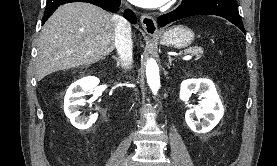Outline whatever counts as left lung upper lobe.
<instances>
[{
	"label": "left lung upper lobe",
	"instance_id": "5c2ea615",
	"mask_svg": "<svg viewBox=\"0 0 277 166\" xmlns=\"http://www.w3.org/2000/svg\"><path fill=\"white\" fill-rule=\"evenodd\" d=\"M189 1H191V0H183L182 2H189Z\"/></svg>",
	"mask_w": 277,
	"mask_h": 166
}]
</instances>
